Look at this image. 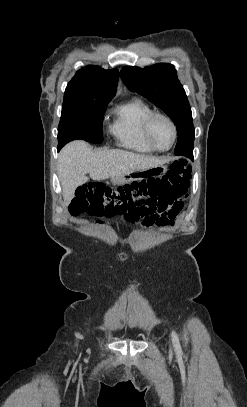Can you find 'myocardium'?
<instances>
[{
	"label": "myocardium",
	"mask_w": 247,
	"mask_h": 407,
	"mask_svg": "<svg viewBox=\"0 0 247 407\" xmlns=\"http://www.w3.org/2000/svg\"><path fill=\"white\" fill-rule=\"evenodd\" d=\"M156 118L165 119V120L170 124V126H171V128H172V131H173V140H172V142H171V144H170V146H169L168 148H165V149L159 148V147L155 144V142L153 141V139H152L151 126H152L153 121H154ZM143 134H144V137H145L147 143H148L155 151H158V152H165V151L170 150V149L173 147V145L175 144V142H176V140H177V136H178V131H177V126H176L175 122L173 121V119H172L170 116H168V115H166V114H164V113H161V112H152L151 114H149V115L146 117V119H145V121H144V124H143Z\"/></svg>",
	"instance_id": "myocardium-1"
}]
</instances>
